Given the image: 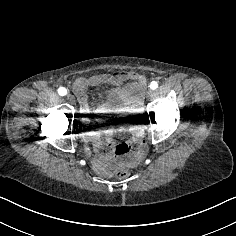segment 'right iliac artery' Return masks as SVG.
I'll return each instance as SVG.
<instances>
[{
  "label": "right iliac artery",
  "instance_id": "obj_1",
  "mask_svg": "<svg viewBox=\"0 0 236 236\" xmlns=\"http://www.w3.org/2000/svg\"><path fill=\"white\" fill-rule=\"evenodd\" d=\"M58 93H59V95H61V96H65V95L67 94V90H66L64 87H60V88L58 89Z\"/></svg>",
  "mask_w": 236,
  "mask_h": 236
}]
</instances>
